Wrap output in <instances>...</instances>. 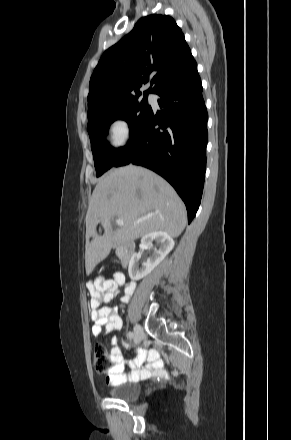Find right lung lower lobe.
Returning a JSON list of instances; mask_svg holds the SVG:
<instances>
[{
  "label": "right lung lower lobe",
  "instance_id": "obj_1",
  "mask_svg": "<svg viewBox=\"0 0 291 440\" xmlns=\"http://www.w3.org/2000/svg\"><path fill=\"white\" fill-rule=\"evenodd\" d=\"M197 66L155 94L161 111L151 109L113 166L141 165L164 177L184 201L188 222L202 197L206 170L208 114Z\"/></svg>",
  "mask_w": 291,
  "mask_h": 440
}]
</instances>
